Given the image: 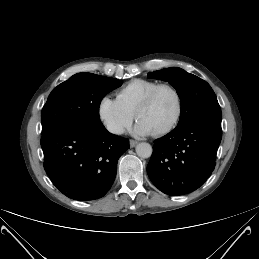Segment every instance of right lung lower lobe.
I'll list each match as a JSON object with an SVG mask.
<instances>
[{
    "label": "right lung lower lobe",
    "instance_id": "right-lung-lower-lobe-1",
    "mask_svg": "<svg viewBox=\"0 0 259 259\" xmlns=\"http://www.w3.org/2000/svg\"><path fill=\"white\" fill-rule=\"evenodd\" d=\"M44 169L67 197L93 201L111 188L129 140L103 125H64L42 133Z\"/></svg>",
    "mask_w": 259,
    "mask_h": 259
}]
</instances>
